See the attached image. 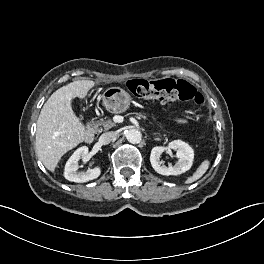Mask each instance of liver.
<instances>
[{"mask_svg":"<svg viewBox=\"0 0 264 264\" xmlns=\"http://www.w3.org/2000/svg\"><path fill=\"white\" fill-rule=\"evenodd\" d=\"M95 85L78 80L56 90L43 105L37 120L36 153L43 165L55 171L61 157L84 141L85 127L75 115L71 101L85 98Z\"/></svg>","mask_w":264,"mask_h":264,"instance_id":"obj_1","label":"liver"}]
</instances>
